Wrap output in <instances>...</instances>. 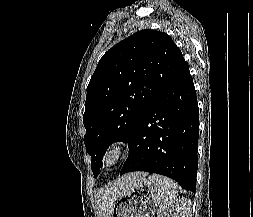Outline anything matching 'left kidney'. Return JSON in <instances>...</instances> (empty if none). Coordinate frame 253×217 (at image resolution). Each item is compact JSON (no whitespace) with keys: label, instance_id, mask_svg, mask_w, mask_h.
I'll use <instances>...</instances> for the list:
<instances>
[{"label":"left kidney","instance_id":"obj_1","mask_svg":"<svg viewBox=\"0 0 253 217\" xmlns=\"http://www.w3.org/2000/svg\"><path fill=\"white\" fill-rule=\"evenodd\" d=\"M191 202L185 198L174 200L160 210L158 217H190Z\"/></svg>","mask_w":253,"mask_h":217}]
</instances>
